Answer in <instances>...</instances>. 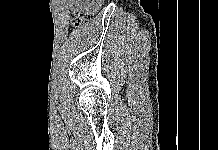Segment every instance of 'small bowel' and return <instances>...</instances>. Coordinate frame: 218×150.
Masks as SVG:
<instances>
[{
	"label": "small bowel",
	"instance_id": "1",
	"mask_svg": "<svg viewBox=\"0 0 218 150\" xmlns=\"http://www.w3.org/2000/svg\"><path fill=\"white\" fill-rule=\"evenodd\" d=\"M71 6H77L79 8L94 9L99 8L103 0H69Z\"/></svg>",
	"mask_w": 218,
	"mask_h": 150
}]
</instances>
